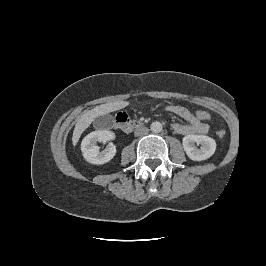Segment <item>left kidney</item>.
Returning a JSON list of instances; mask_svg holds the SVG:
<instances>
[{"label":"left kidney","instance_id":"5707ae66","mask_svg":"<svg viewBox=\"0 0 266 266\" xmlns=\"http://www.w3.org/2000/svg\"><path fill=\"white\" fill-rule=\"evenodd\" d=\"M183 148L187 156L193 161H202L210 158L216 150V142L205 135H187L182 140ZM195 143L200 144L198 149Z\"/></svg>","mask_w":266,"mask_h":266}]
</instances>
